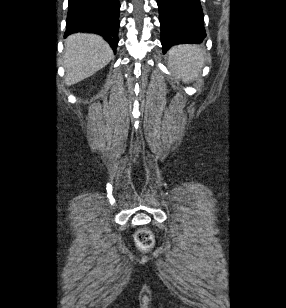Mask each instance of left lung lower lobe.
Wrapping results in <instances>:
<instances>
[{"label":"left lung lower lobe","mask_w":286,"mask_h":308,"mask_svg":"<svg viewBox=\"0 0 286 308\" xmlns=\"http://www.w3.org/2000/svg\"><path fill=\"white\" fill-rule=\"evenodd\" d=\"M163 53L182 43H201L206 37L200 0H157Z\"/></svg>","instance_id":"1"}]
</instances>
